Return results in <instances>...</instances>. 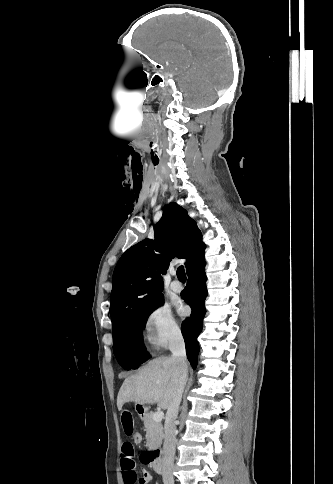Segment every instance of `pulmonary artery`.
Masks as SVG:
<instances>
[{
  "label": "pulmonary artery",
  "instance_id": "e3ab8cb5",
  "mask_svg": "<svg viewBox=\"0 0 333 484\" xmlns=\"http://www.w3.org/2000/svg\"><path fill=\"white\" fill-rule=\"evenodd\" d=\"M170 286L171 289L176 293H179L183 290V285L179 280L172 281Z\"/></svg>",
  "mask_w": 333,
  "mask_h": 484
}]
</instances>
